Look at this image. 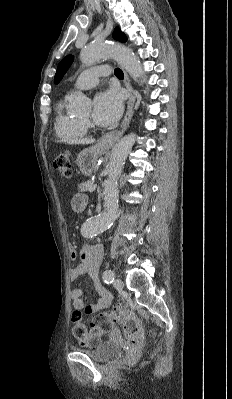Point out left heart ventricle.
<instances>
[{
    "mask_svg": "<svg viewBox=\"0 0 232 399\" xmlns=\"http://www.w3.org/2000/svg\"><path fill=\"white\" fill-rule=\"evenodd\" d=\"M88 116H89V113H87L83 118H88Z\"/></svg>",
    "mask_w": 232,
    "mask_h": 399,
    "instance_id": "obj_1",
    "label": "left heart ventricle"
}]
</instances>
